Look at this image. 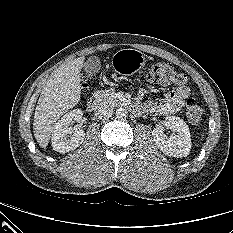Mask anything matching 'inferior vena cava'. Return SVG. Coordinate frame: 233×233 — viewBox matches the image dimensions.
Listing matches in <instances>:
<instances>
[{
    "label": "inferior vena cava",
    "instance_id": "obj_1",
    "mask_svg": "<svg viewBox=\"0 0 233 233\" xmlns=\"http://www.w3.org/2000/svg\"><path fill=\"white\" fill-rule=\"evenodd\" d=\"M113 109L106 103H101L95 110V116L99 119L111 117Z\"/></svg>",
    "mask_w": 233,
    "mask_h": 233
}]
</instances>
